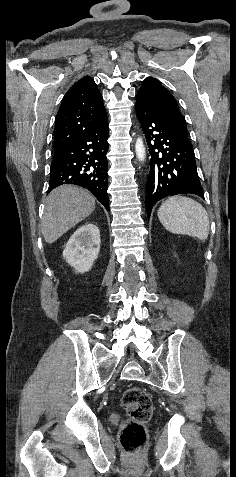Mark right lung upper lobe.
I'll return each mask as SVG.
<instances>
[{
  "label": "right lung upper lobe",
  "mask_w": 236,
  "mask_h": 477,
  "mask_svg": "<svg viewBox=\"0 0 236 477\" xmlns=\"http://www.w3.org/2000/svg\"><path fill=\"white\" fill-rule=\"evenodd\" d=\"M107 121L102 96L92 78L78 80L64 96L54 130V153L76 142L84 134Z\"/></svg>",
  "instance_id": "1"
}]
</instances>
